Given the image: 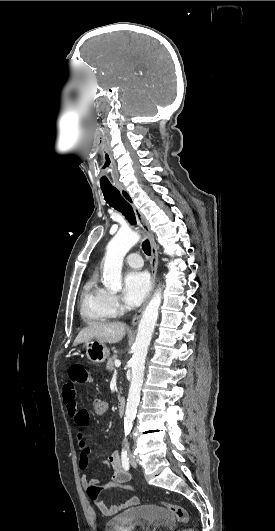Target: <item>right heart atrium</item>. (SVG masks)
Instances as JSON below:
<instances>
[{"mask_svg":"<svg viewBox=\"0 0 275 531\" xmlns=\"http://www.w3.org/2000/svg\"><path fill=\"white\" fill-rule=\"evenodd\" d=\"M106 304L112 315H118L123 311V305L118 295L106 290Z\"/></svg>","mask_w":275,"mask_h":531,"instance_id":"d8ad5b80","label":"right heart atrium"}]
</instances>
